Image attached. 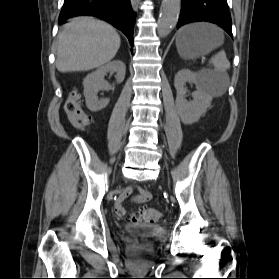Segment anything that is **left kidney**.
<instances>
[{
  "label": "left kidney",
  "instance_id": "obj_1",
  "mask_svg": "<svg viewBox=\"0 0 279 279\" xmlns=\"http://www.w3.org/2000/svg\"><path fill=\"white\" fill-rule=\"evenodd\" d=\"M186 82L194 83L197 89L192 93L193 100L190 102L185 99L188 91L185 87ZM174 86L177 91L176 108L181 121L187 125L197 122L206 113L212 101V96L207 91L205 74L181 69L175 75Z\"/></svg>",
  "mask_w": 279,
  "mask_h": 279
}]
</instances>
